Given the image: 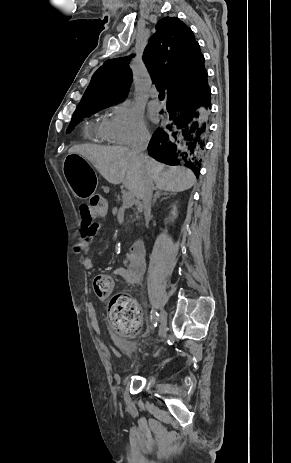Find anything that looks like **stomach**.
<instances>
[{
	"label": "stomach",
	"mask_w": 291,
	"mask_h": 463,
	"mask_svg": "<svg viewBox=\"0 0 291 463\" xmlns=\"http://www.w3.org/2000/svg\"><path fill=\"white\" fill-rule=\"evenodd\" d=\"M64 177L75 197L86 199L96 189V178L88 161L74 153H70L63 164Z\"/></svg>",
	"instance_id": "stomach-1"
}]
</instances>
